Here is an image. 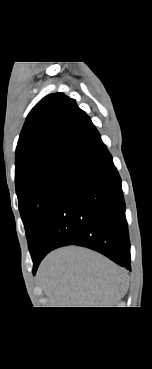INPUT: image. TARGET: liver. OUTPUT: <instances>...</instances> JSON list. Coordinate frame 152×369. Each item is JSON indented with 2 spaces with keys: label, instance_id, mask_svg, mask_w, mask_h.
Instances as JSON below:
<instances>
[{
  "label": "liver",
  "instance_id": "1",
  "mask_svg": "<svg viewBox=\"0 0 152 369\" xmlns=\"http://www.w3.org/2000/svg\"><path fill=\"white\" fill-rule=\"evenodd\" d=\"M38 277L52 307H111L129 287L125 269L76 246L51 252L40 265Z\"/></svg>",
  "mask_w": 152,
  "mask_h": 369
}]
</instances>
